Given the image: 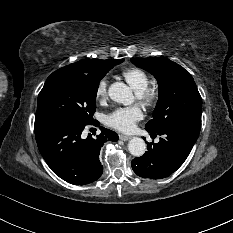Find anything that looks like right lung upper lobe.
Here are the masks:
<instances>
[{
  "instance_id": "1",
  "label": "right lung upper lobe",
  "mask_w": 233,
  "mask_h": 233,
  "mask_svg": "<svg viewBox=\"0 0 233 233\" xmlns=\"http://www.w3.org/2000/svg\"><path fill=\"white\" fill-rule=\"evenodd\" d=\"M105 61L106 60L88 59V60L78 61L76 63L67 65L65 67L82 71L85 73H91L96 71Z\"/></svg>"
}]
</instances>
